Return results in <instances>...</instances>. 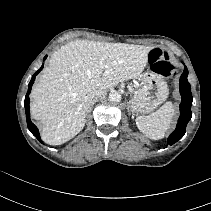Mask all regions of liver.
<instances>
[{"label":"liver","instance_id":"obj_1","mask_svg":"<svg viewBox=\"0 0 211 211\" xmlns=\"http://www.w3.org/2000/svg\"><path fill=\"white\" fill-rule=\"evenodd\" d=\"M152 47L75 40L54 52L31 91V116L49 145H61L85 126L97 89L137 78Z\"/></svg>","mask_w":211,"mask_h":211}]
</instances>
